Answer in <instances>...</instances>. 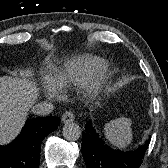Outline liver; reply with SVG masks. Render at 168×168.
Listing matches in <instances>:
<instances>
[{
    "mask_svg": "<svg viewBox=\"0 0 168 168\" xmlns=\"http://www.w3.org/2000/svg\"><path fill=\"white\" fill-rule=\"evenodd\" d=\"M37 97V88L27 77H0V145L18 135Z\"/></svg>",
    "mask_w": 168,
    "mask_h": 168,
    "instance_id": "obj_1",
    "label": "liver"
}]
</instances>
